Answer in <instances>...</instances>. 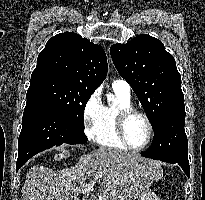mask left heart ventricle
<instances>
[{
    "mask_svg": "<svg viewBox=\"0 0 205 200\" xmlns=\"http://www.w3.org/2000/svg\"><path fill=\"white\" fill-rule=\"evenodd\" d=\"M126 136L132 146L143 145L148 137V126L145 120L138 116H132L126 124Z\"/></svg>",
    "mask_w": 205,
    "mask_h": 200,
    "instance_id": "b2bd125f",
    "label": "left heart ventricle"
}]
</instances>
